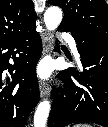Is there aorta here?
<instances>
[{
  "label": "aorta",
  "instance_id": "762f6f07",
  "mask_svg": "<svg viewBox=\"0 0 108 127\" xmlns=\"http://www.w3.org/2000/svg\"><path fill=\"white\" fill-rule=\"evenodd\" d=\"M63 18L62 10L59 7L51 6L44 13V22L49 31L55 30ZM50 112V102H41L34 115V127H45Z\"/></svg>",
  "mask_w": 108,
  "mask_h": 127
}]
</instances>
